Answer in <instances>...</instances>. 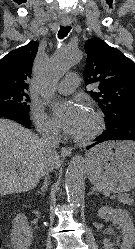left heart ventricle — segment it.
<instances>
[{"mask_svg":"<svg viewBox=\"0 0 135 249\" xmlns=\"http://www.w3.org/2000/svg\"><path fill=\"white\" fill-rule=\"evenodd\" d=\"M93 116L91 115V113L89 111H87L86 114V119L84 121V124L80 130V132L77 134L78 137H83L85 135H87L93 128Z\"/></svg>","mask_w":135,"mask_h":249,"instance_id":"b2bd125f","label":"left heart ventricle"}]
</instances>
